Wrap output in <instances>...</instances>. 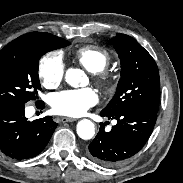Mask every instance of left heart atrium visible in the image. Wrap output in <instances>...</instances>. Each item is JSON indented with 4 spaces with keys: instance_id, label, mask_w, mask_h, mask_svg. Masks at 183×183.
Returning <instances> with one entry per match:
<instances>
[{
    "instance_id": "obj_1",
    "label": "left heart atrium",
    "mask_w": 183,
    "mask_h": 183,
    "mask_svg": "<svg viewBox=\"0 0 183 183\" xmlns=\"http://www.w3.org/2000/svg\"><path fill=\"white\" fill-rule=\"evenodd\" d=\"M98 102V95L92 88L64 90L51 97L52 110L59 115L77 117L84 114Z\"/></svg>"
}]
</instances>
